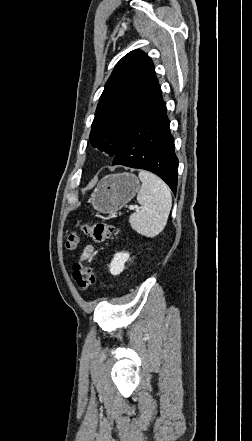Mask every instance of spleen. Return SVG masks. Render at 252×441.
<instances>
[{
	"label": "spleen",
	"mask_w": 252,
	"mask_h": 441,
	"mask_svg": "<svg viewBox=\"0 0 252 441\" xmlns=\"http://www.w3.org/2000/svg\"><path fill=\"white\" fill-rule=\"evenodd\" d=\"M142 186L137 195L141 209L131 214V227L139 234L153 238L166 226L172 206L169 187L156 175L140 170Z\"/></svg>",
	"instance_id": "3e777b00"
}]
</instances>
